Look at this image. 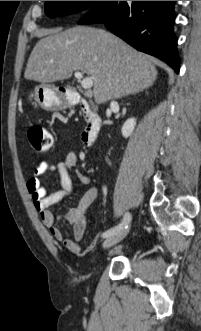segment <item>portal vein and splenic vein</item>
I'll list each match as a JSON object with an SVG mask.
<instances>
[{"label": "portal vein and splenic vein", "instance_id": "18ae733b", "mask_svg": "<svg viewBox=\"0 0 201 331\" xmlns=\"http://www.w3.org/2000/svg\"><path fill=\"white\" fill-rule=\"evenodd\" d=\"M74 76L78 79L81 80V86L85 90H89L93 86V80L90 77H83V73L76 71L74 73Z\"/></svg>", "mask_w": 201, "mask_h": 331}]
</instances>
